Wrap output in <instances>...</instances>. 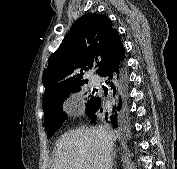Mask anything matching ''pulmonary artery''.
Returning <instances> with one entry per match:
<instances>
[{"instance_id": "1", "label": "pulmonary artery", "mask_w": 177, "mask_h": 169, "mask_svg": "<svg viewBox=\"0 0 177 169\" xmlns=\"http://www.w3.org/2000/svg\"><path fill=\"white\" fill-rule=\"evenodd\" d=\"M91 82H92V84L97 85V84H99V79L97 77H92Z\"/></svg>"}]
</instances>
